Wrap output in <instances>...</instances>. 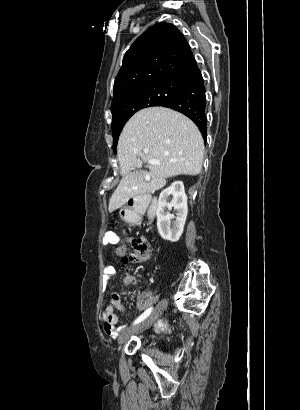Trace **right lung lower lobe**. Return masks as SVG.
Here are the masks:
<instances>
[{
  "label": "right lung lower lobe",
  "instance_id": "98d812e1",
  "mask_svg": "<svg viewBox=\"0 0 300 410\" xmlns=\"http://www.w3.org/2000/svg\"><path fill=\"white\" fill-rule=\"evenodd\" d=\"M205 93L204 80L198 69L174 98L161 105L188 116L198 126L204 140L207 131Z\"/></svg>",
  "mask_w": 300,
  "mask_h": 410
}]
</instances>
